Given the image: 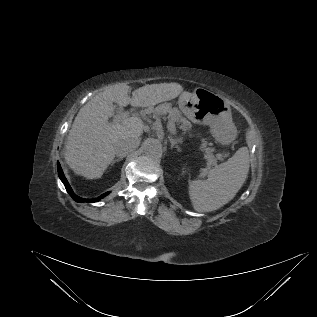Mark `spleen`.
Masks as SVG:
<instances>
[{
  "label": "spleen",
  "mask_w": 317,
  "mask_h": 317,
  "mask_svg": "<svg viewBox=\"0 0 317 317\" xmlns=\"http://www.w3.org/2000/svg\"><path fill=\"white\" fill-rule=\"evenodd\" d=\"M249 151L241 147L228 161L215 166L206 180L189 183V196L197 212H210L231 201L246 180Z\"/></svg>",
  "instance_id": "spleen-1"
}]
</instances>
